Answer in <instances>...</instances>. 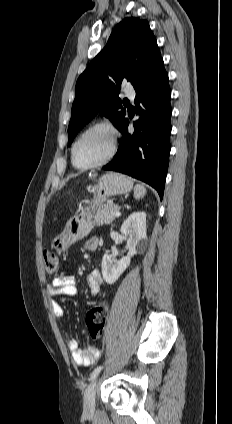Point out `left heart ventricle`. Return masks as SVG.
<instances>
[{"label":"left heart ventricle","mask_w":232,"mask_h":424,"mask_svg":"<svg viewBox=\"0 0 232 424\" xmlns=\"http://www.w3.org/2000/svg\"><path fill=\"white\" fill-rule=\"evenodd\" d=\"M111 137L108 132L96 129L86 134L75 151L76 163L86 166L102 159L110 150Z\"/></svg>","instance_id":"b2bd125f"}]
</instances>
